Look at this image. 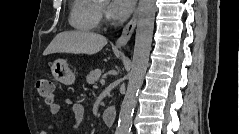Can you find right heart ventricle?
Here are the masks:
<instances>
[{"instance_id":"right-heart-ventricle-1","label":"right heart ventricle","mask_w":239,"mask_h":134,"mask_svg":"<svg viewBox=\"0 0 239 134\" xmlns=\"http://www.w3.org/2000/svg\"><path fill=\"white\" fill-rule=\"evenodd\" d=\"M100 8L94 0H74L69 22L72 27L80 31H92L98 27Z\"/></svg>"}]
</instances>
